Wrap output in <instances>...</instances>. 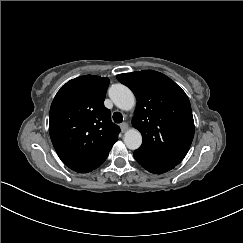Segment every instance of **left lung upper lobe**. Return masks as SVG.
I'll use <instances>...</instances> for the list:
<instances>
[{"label": "left lung upper lobe", "instance_id": "1", "mask_svg": "<svg viewBox=\"0 0 243 243\" xmlns=\"http://www.w3.org/2000/svg\"><path fill=\"white\" fill-rule=\"evenodd\" d=\"M136 96L132 125L142 134L136 150L152 160L176 166L187 154L194 137V120L185 92L166 75L153 71L116 76Z\"/></svg>", "mask_w": 243, "mask_h": 243}]
</instances>
